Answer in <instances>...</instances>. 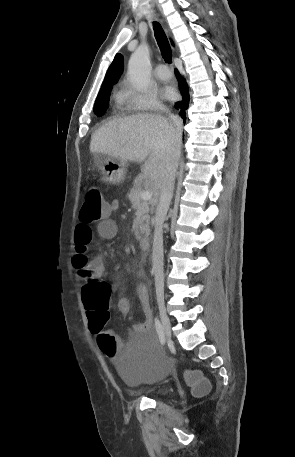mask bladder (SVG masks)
Returning a JSON list of instances; mask_svg holds the SVG:
<instances>
[{"label": "bladder", "instance_id": "obj_1", "mask_svg": "<svg viewBox=\"0 0 295 457\" xmlns=\"http://www.w3.org/2000/svg\"><path fill=\"white\" fill-rule=\"evenodd\" d=\"M134 350L126 354L123 363L117 366L122 381L129 387L155 386L169 377V365L158 364L159 359L153 347H157V338H134ZM152 393L161 396L164 392L154 389Z\"/></svg>", "mask_w": 295, "mask_h": 457}]
</instances>
